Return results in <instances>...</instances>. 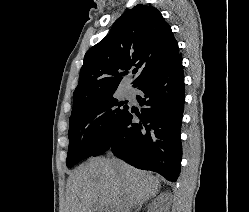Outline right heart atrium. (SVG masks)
Here are the masks:
<instances>
[{
	"label": "right heart atrium",
	"mask_w": 249,
	"mask_h": 212,
	"mask_svg": "<svg viewBox=\"0 0 249 212\" xmlns=\"http://www.w3.org/2000/svg\"><path fill=\"white\" fill-rule=\"evenodd\" d=\"M93 135L96 139H102L107 133V125L104 119L100 118L93 125Z\"/></svg>",
	"instance_id": "1"
}]
</instances>
